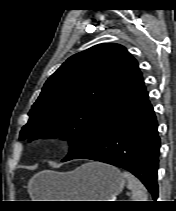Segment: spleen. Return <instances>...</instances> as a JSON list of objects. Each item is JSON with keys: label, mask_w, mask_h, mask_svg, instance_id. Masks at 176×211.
Wrapping results in <instances>:
<instances>
[{"label": "spleen", "mask_w": 176, "mask_h": 211, "mask_svg": "<svg viewBox=\"0 0 176 211\" xmlns=\"http://www.w3.org/2000/svg\"><path fill=\"white\" fill-rule=\"evenodd\" d=\"M122 175L128 181V188L132 192V201H147L148 195L145 186L130 172L124 171Z\"/></svg>", "instance_id": "spleen-1"}]
</instances>
